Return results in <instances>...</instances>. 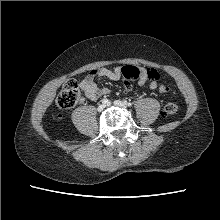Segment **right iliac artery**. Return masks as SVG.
<instances>
[{"mask_svg":"<svg viewBox=\"0 0 220 220\" xmlns=\"http://www.w3.org/2000/svg\"><path fill=\"white\" fill-rule=\"evenodd\" d=\"M102 103H103V104H109V100H108V99H103V100H102Z\"/></svg>","mask_w":220,"mask_h":220,"instance_id":"82829eb1","label":"right iliac artery"}]
</instances>
